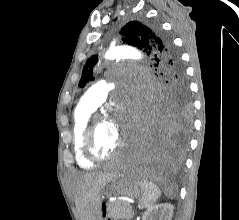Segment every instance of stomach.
<instances>
[{
	"instance_id": "1",
	"label": "stomach",
	"mask_w": 239,
	"mask_h": 220,
	"mask_svg": "<svg viewBox=\"0 0 239 220\" xmlns=\"http://www.w3.org/2000/svg\"><path fill=\"white\" fill-rule=\"evenodd\" d=\"M108 190L114 195H123L130 198H137L143 193L141 187L133 178H115L109 184ZM104 213L105 204L101 201L99 217H102Z\"/></svg>"
}]
</instances>
